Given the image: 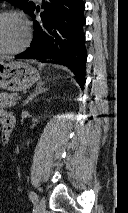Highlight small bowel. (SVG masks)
Returning <instances> with one entry per match:
<instances>
[{
    "label": "small bowel",
    "mask_w": 128,
    "mask_h": 213,
    "mask_svg": "<svg viewBox=\"0 0 128 213\" xmlns=\"http://www.w3.org/2000/svg\"><path fill=\"white\" fill-rule=\"evenodd\" d=\"M8 114V112H5L3 110L0 109V122L2 121V119Z\"/></svg>",
    "instance_id": "1"
}]
</instances>
